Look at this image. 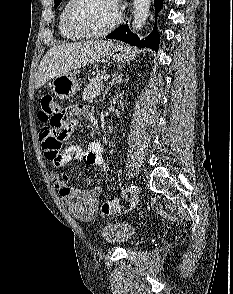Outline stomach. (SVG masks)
I'll return each mask as SVG.
<instances>
[{"label":"stomach","mask_w":233,"mask_h":294,"mask_svg":"<svg viewBox=\"0 0 233 294\" xmlns=\"http://www.w3.org/2000/svg\"><path fill=\"white\" fill-rule=\"evenodd\" d=\"M117 62H129L134 59L135 52L123 44L113 45L106 54ZM51 87L54 93L61 99H70L75 96L80 89L76 73L73 71L64 73L53 78Z\"/></svg>","instance_id":"0dacf381"}]
</instances>
